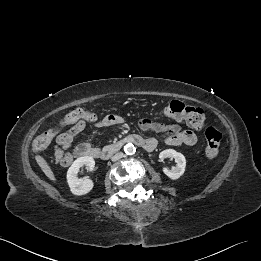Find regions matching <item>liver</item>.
<instances>
[{
    "instance_id": "6515ba94",
    "label": "liver",
    "mask_w": 261,
    "mask_h": 261,
    "mask_svg": "<svg viewBox=\"0 0 261 261\" xmlns=\"http://www.w3.org/2000/svg\"><path fill=\"white\" fill-rule=\"evenodd\" d=\"M36 161L38 163V165L40 166V168L42 169V171L44 172V174L52 181H56L55 175L53 173V171L51 170L50 166L48 165V163L46 162V160L40 156V155H36Z\"/></svg>"
}]
</instances>
